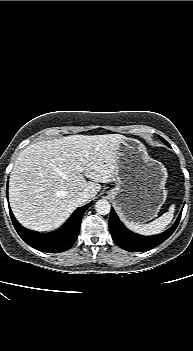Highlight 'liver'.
<instances>
[{"label": "liver", "instance_id": "6515ba94", "mask_svg": "<svg viewBox=\"0 0 193 351\" xmlns=\"http://www.w3.org/2000/svg\"><path fill=\"white\" fill-rule=\"evenodd\" d=\"M123 138L71 135L27 146L9 179V201L17 220L39 232L59 228L80 205L79 192L87 191L92 200L101 189L99 183L115 180Z\"/></svg>", "mask_w": 193, "mask_h": 351}]
</instances>
